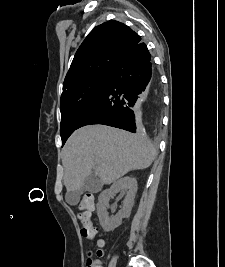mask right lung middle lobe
Instances as JSON below:
<instances>
[{"mask_svg": "<svg viewBox=\"0 0 225 267\" xmlns=\"http://www.w3.org/2000/svg\"><path fill=\"white\" fill-rule=\"evenodd\" d=\"M110 74L91 77L64 89L60 103L62 144L77 129L81 119L95 104Z\"/></svg>", "mask_w": 225, "mask_h": 267, "instance_id": "1", "label": "right lung middle lobe"}]
</instances>
